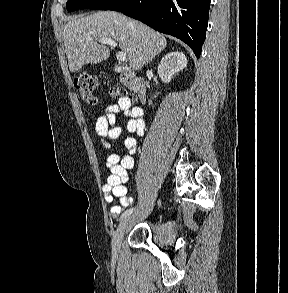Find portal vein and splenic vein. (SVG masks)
Masks as SVG:
<instances>
[{
    "instance_id": "1",
    "label": "portal vein and splenic vein",
    "mask_w": 288,
    "mask_h": 293,
    "mask_svg": "<svg viewBox=\"0 0 288 293\" xmlns=\"http://www.w3.org/2000/svg\"><path fill=\"white\" fill-rule=\"evenodd\" d=\"M88 39L93 40L92 38H88ZM99 43L106 44L114 48L117 46V43L113 39H110V38H101L99 39ZM116 57L119 62H124L127 60V56L124 52H118L116 54Z\"/></svg>"
}]
</instances>
